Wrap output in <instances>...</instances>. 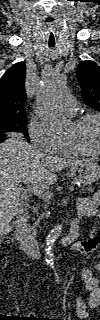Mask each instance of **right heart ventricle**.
Instances as JSON below:
<instances>
[{
    "label": "right heart ventricle",
    "instance_id": "right-heart-ventricle-1",
    "mask_svg": "<svg viewBox=\"0 0 100 320\" xmlns=\"http://www.w3.org/2000/svg\"><path fill=\"white\" fill-rule=\"evenodd\" d=\"M55 153L59 155H64V156H70V155H78L80 152L76 151L74 148H72L65 138H60L58 147L55 151Z\"/></svg>",
    "mask_w": 100,
    "mask_h": 320
}]
</instances>
